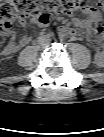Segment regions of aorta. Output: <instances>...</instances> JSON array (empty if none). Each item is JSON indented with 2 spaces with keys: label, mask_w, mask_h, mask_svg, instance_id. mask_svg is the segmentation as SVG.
Masks as SVG:
<instances>
[{
  "label": "aorta",
  "mask_w": 104,
  "mask_h": 137,
  "mask_svg": "<svg viewBox=\"0 0 104 137\" xmlns=\"http://www.w3.org/2000/svg\"><path fill=\"white\" fill-rule=\"evenodd\" d=\"M54 39H55V42L56 43H63L64 42V39H65V37H64V34L63 33H56L55 34V37H54Z\"/></svg>",
  "instance_id": "1"
}]
</instances>
